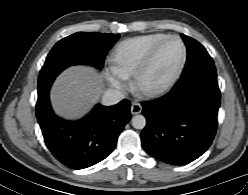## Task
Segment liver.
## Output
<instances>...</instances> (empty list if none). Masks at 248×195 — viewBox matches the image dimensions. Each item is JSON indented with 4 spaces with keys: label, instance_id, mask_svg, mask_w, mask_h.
Segmentation results:
<instances>
[{
    "label": "liver",
    "instance_id": "6515ba94",
    "mask_svg": "<svg viewBox=\"0 0 248 195\" xmlns=\"http://www.w3.org/2000/svg\"><path fill=\"white\" fill-rule=\"evenodd\" d=\"M103 77L88 66L66 69L56 78L51 90L55 112L67 119L82 117L105 92Z\"/></svg>",
    "mask_w": 248,
    "mask_h": 195
}]
</instances>
